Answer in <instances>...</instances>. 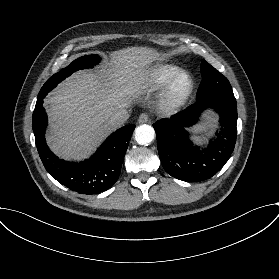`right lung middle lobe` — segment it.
<instances>
[{"mask_svg": "<svg viewBox=\"0 0 279 279\" xmlns=\"http://www.w3.org/2000/svg\"><path fill=\"white\" fill-rule=\"evenodd\" d=\"M100 57L97 55H86L74 60L69 66L63 68L60 72L54 74L47 82L43 85L39 93H44L45 95L52 90L57 83L61 82L63 79L71 75L73 72L84 69L90 68L99 63Z\"/></svg>", "mask_w": 279, "mask_h": 279, "instance_id": "obj_1", "label": "right lung middle lobe"}]
</instances>
